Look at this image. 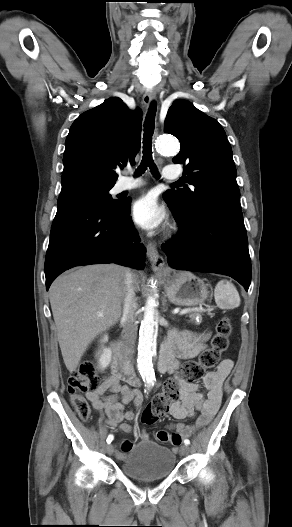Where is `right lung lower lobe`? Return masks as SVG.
<instances>
[{"mask_svg":"<svg viewBox=\"0 0 292 527\" xmlns=\"http://www.w3.org/2000/svg\"><path fill=\"white\" fill-rule=\"evenodd\" d=\"M138 242L128 201L110 208L82 198L59 200L46 253V289L75 266L117 263L143 269L146 248Z\"/></svg>","mask_w":292,"mask_h":527,"instance_id":"obj_1","label":"right lung lower lobe"}]
</instances>
